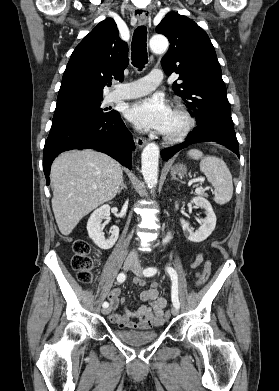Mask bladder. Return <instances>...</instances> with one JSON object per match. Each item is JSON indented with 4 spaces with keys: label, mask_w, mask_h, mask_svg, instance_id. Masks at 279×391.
I'll return each mask as SVG.
<instances>
[{
    "label": "bladder",
    "mask_w": 279,
    "mask_h": 391,
    "mask_svg": "<svg viewBox=\"0 0 279 391\" xmlns=\"http://www.w3.org/2000/svg\"><path fill=\"white\" fill-rule=\"evenodd\" d=\"M114 336L120 341L131 346H142L155 341L158 333L155 331H128V330H113Z\"/></svg>",
    "instance_id": "31cf9c89"
}]
</instances>
